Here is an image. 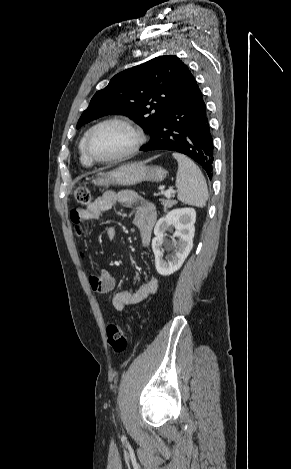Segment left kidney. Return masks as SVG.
<instances>
[{"instance_id":"obj_1","label":"left kidney","mask_w":291,"mask_h":469,"mask_svg":"<svg viewBox=\"0 0 291 469\" xmlns=\"http://www.w3.org/2000/svg\"><path fill=\"white\" fill-rule=\"evenodd\" d=\"M196 212L193 208H178L167 213V215L156 223L154 228L155 238L152 240V250L155 255V267L162 276L171 275L180 269L193 247L195 232ZM175 229L173 237L179 239L177 243L164 240V234L169 229ZM166 250L175 248V253L169 259L164 260L163 254Z\"/></svg>"}]
</instances>
